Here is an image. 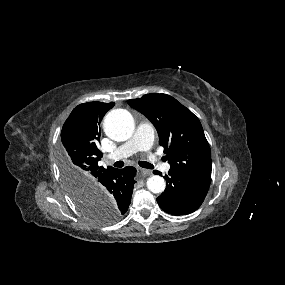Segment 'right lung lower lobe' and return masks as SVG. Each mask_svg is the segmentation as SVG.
Instances as JSON below:
<instances>
[{
	"label": "right lung lower lobe",
	"mask_w": 285,
	"mask_h": 285,
	"mask_svg": "<svg viewBox=\"0 0 285 285\" xmlns=\"http://www.w3.org/2000/svg\"><path fill=\"white\" fill-rule=\"evenodd\" d=\"M136 169L128 166L123 169L109 170L99 176L90 188L119 216L126 213L131 202Z\"/></svg>",
	"instance_id": "1"
}]
</instances>
